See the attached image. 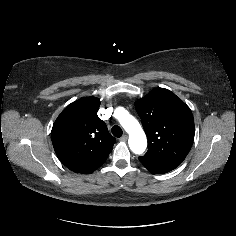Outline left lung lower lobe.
<instances>
[{"mask_svg":"<svg viewBox=\"0 0 236 236\" xmlns=\"http://www.w3.org/2000/svg\"><path fill=\"white\" fill-rule=\"evenodd\" d=\"M150 172L152 173H155V174H163V173H167L169 171L167 170H156V169H152V168H149V167H146Z\"/></svg>","mask_w":236,"mask_h":236,"instance_id":"0a47b994","label":"left lung lower lobe"}]
</instances>
